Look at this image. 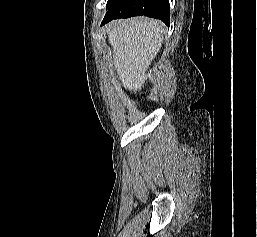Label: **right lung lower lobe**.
<instances>
[{"instance_id":"obj_1","label":"right lung lower lobe","mask_w":257,"mask_h":237,"mask_svg":"<svg viewBox=\"0 0 257 237\" xmlns=\"http://www.w3.org/2000/svg\"><path fill=\"white\" fill-rule=\"evenodd\" d=\"M107 9L102 25L114 19L140 15L162 20L168 26L170 23L168 0H115Z\"/></svg>"}]
</instances>
